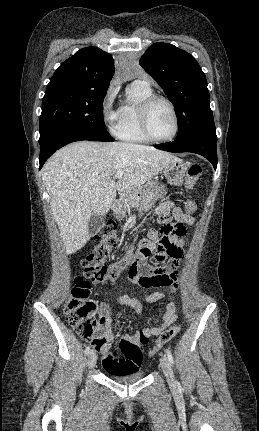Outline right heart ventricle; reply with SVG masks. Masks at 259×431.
Returning <instances> with one entry per match:
<instances>
[{
	"label": "right heart ventricle",
	"mask_w": 259,
	"mask_h": 431,
	"mask_svg": "<svg viewBox=\"0 0 259 431\" xmlns=\"http://www.w3.org/2000/svg\"><path fill=\"white\" fill-rule=\"evenodd\" d=\"M152 90L149 87L131 85L127 91V101L121 106L118 124L114 130L115 135L122 141L145 144L150 142L142 133L139 124V106L149 96Z\"/></svg>",
	"instance_id": "right-heart-ventricle-1"
}]
</instances>
